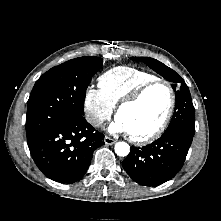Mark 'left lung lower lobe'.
I'll return each instance as SVG.
<instances>
[{
	"mask_svg": "<svg viewBox=\"0 0 221 221\" xmlns=\"http://www.w3.org/2000/svg\"><path fill=\"white\" fill-rule=\"evenodd\" d=\"M194 135L164 133L150 145L131 147L122 162L126 173L138 184L157 186L172 179L181 169Z\"/></svg>",
	"mask_w": 221,
	"mask_h": 221,
	"instance_id": "left-lung-lower-lobe-1",
	"label": "left lung lower lobe"
}]
</instances>
